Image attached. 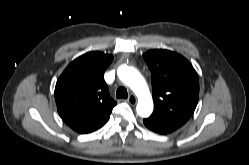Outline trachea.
Instances as JSON below:
<instances>
[{"label":"trachea","instance_id":"trachea-1","mask_svg":"<svg viewBox=\"0 0 249 165\" xmlns=\"http://www.w3.org/2000/svg\"><path fill=\"white\" fill-rule=\"evenodd\" d=\"M116 97L126 99L128 97L127 89L125 87H119L116 91Z\"/></svg>","mask_w":249,"mask_h":165}]
</instances>
